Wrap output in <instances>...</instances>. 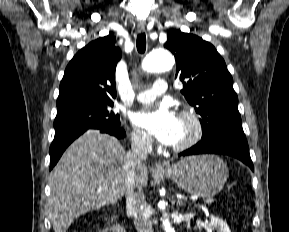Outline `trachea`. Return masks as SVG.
Wrapping results in <instances>:
<instances>
[{
    "mask_svg": "<svg viewBox=\"0 0 289 232\" xmlns=\"http://www.w3.org/2000/svg\"><path fill=\"white\" fill-rule=\"evenodd\" d=\"M136 47L140 54H143L146 50V36L144 33H141L137 36Z\"/></svg>",
    "mask_w": 289,
    "mask_h": 232,
    "instance_id": "obj_1",
    "label": "trachea"
}]
</instances>
